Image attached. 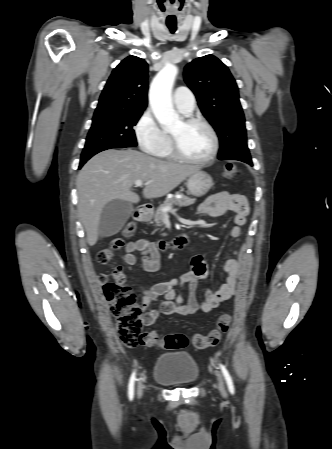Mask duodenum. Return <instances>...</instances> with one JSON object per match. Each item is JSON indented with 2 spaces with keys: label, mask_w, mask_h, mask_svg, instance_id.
<instances>
[{
  "label": "duodenum",
  "mask_w": 332,
  "mask_h": 449,
  "mask_svg": "<svg viewBox=\"0 0 332 449\" xmlns=\"http://www.w3.org/2000/svg\"><path fill=\"white\" fill-rule=\"evenodd\" d=\"M149 214H150V208L145 206V205H142V206L138 207V209L136 210L135 220L138 223L146 222L148 220ZM187 243H188V236L187 235H180V236H177L175 239H173L172 241H169V242L161 241L159 243V247L161 249H165V248H168V247H173L175 249H181Z\"/></svg>",
  "instance_id": "obj_1"
}]
</instances>
